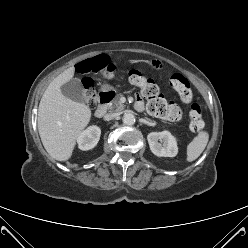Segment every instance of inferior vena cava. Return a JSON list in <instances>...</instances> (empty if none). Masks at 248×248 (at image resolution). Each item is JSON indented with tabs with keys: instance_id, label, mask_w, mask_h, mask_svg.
I'll return each instance as SVG.
<instances>
[{
	"instance_id": "obj_1",
	"label": "inferior vena cava",
	"mask_w": 248,
	"mask_h": 248,
	"mask_svg": "<svg viewBox=\"0 0 248 248\" xmlns=\"http://www.w3.org/2000/svg\"><path fill=\"white\" fill-rule=\"evenodd\" d=\"M117 116H118L117 113H109V114H106L104 116V120L105 121H110V120L115 119Z\"/></svg>"
}]
</instances>
